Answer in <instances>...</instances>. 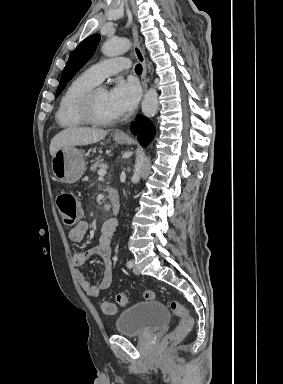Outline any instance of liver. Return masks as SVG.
Listing matches in <instances>:
<instances>
[{"label":"liver","mask_w":283,"mask_h":384,"mask_svg":"<svg viewBox=\"0 0 283 384\" xmlns=\"http://www.w3.org/2000/svg\"><path fill=\"white\" fill-rule=\"evenodd\" d=\"M107 132L105 130H94V128H77V126H69L67 130L59 132L53 140H51L49 152L51 156L56 154L59 148H67V146H88V144H96L105 138Z\"/></svg>","instance_id":"obj_1"}]
</instances>
